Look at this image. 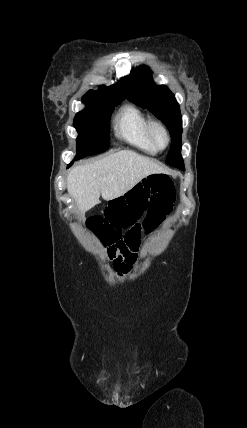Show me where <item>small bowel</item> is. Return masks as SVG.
<instances>
[{"mask_svg":"<svg viewBox=\"0 0 247 428\" xmlns=\"http://www.w3.org/2000/svg\"><path fill=\"white\" fill-rule=\"evenodd\" d=\"M136 252H134L133 254H131V256H126V255H117L114 259H113V265L115 267V269L120 272L121 274H126L130 271V269L132 268V264L135 262L136 259Z\"/></svg>","mask_w":247,"mask_h":428,"instance_id":"c3829d8e","label":"small bowel"}]
</instances>
